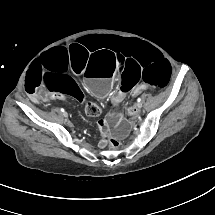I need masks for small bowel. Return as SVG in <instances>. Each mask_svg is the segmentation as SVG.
<instances>
[{
  "label": "small bowel",
  "instance_id": "c3829d8e",
  "mask_svg": "<svg viewBox=\"0 0 215 215\" xmlns=\"http://www.w3.org/2000/svg\"><path fill=\"white\" fill-rule=\"evenodd\" d=\"M57 96V95H56ZM63 95H61V96H57V97H62ZM130 113L131 114H136L137 113V109L135 108V107H132V108H130Z\"/></svg>",
  "mask_w": 215,
  "mask_h": 215
}]
</instances>
